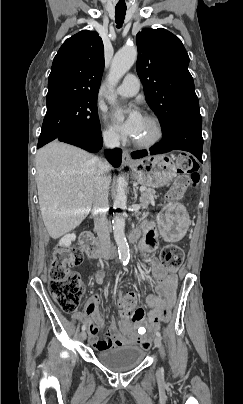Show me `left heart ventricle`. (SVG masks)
<instances>
[{"mask_svg": "<svg viewBox=\"0 0 243 404\" xmlns=\"http://www.w3.org/2000/svg\"><path fill=\"white\" fill-rule=\"evenodd\" d=\"M155 134V127L151 121L144 118L142 128L138 137L134 140L136 141H147L151 139Z\"/></svg>", "mask_w": 243, "mask_h": 404, "instance_id": "left-heart-ventricle-1", "label": "left heart ventricle"}]
</instances>
